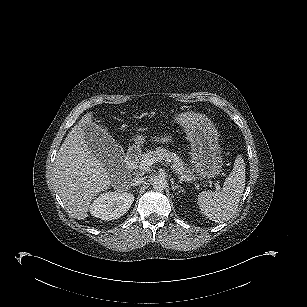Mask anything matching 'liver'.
Segmentation results:
<instances>
[{"mask_svg": "<svg viewBox=\"0 0 307 307\" xmlns=\"http://www.w3.org/2000/svg\"><path fill=\"white\" fill-rule=\"evenodd\" d=\"M95 128L107 133L102 125L86 114L68 133L53 167V181L57 192L72 217L84 220L91 201L111 185L110 169L90 151L85 135Z\"/></svg>", "mask_w": 307, "mask_h": 307, "instance_id": "liver-1", "label": "liver"}]
</instances>
